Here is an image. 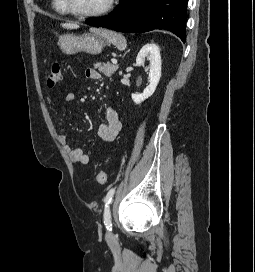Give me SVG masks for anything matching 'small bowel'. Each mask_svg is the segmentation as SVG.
I'll return each mask as SVG.
<instances>
[{"instance_id":"obj_1","label":"small bowel","mask_w":255,"mask_h":272,"mask_svg":"<svg viewBox=\"0 0 255 272\" xmlns=\"http://www.w3.org/2000/svg\"><path fill=\"white\" fill-rule=\"evenodd\" d=\"M86 77L94 80V81H101L102 75L94 69H87ZM75 98L74 93H68L65 96V100L67 102L73 101ZM104 116L105 122L101 123L98 127V136L103 141H113L116 139L118 134L121 131V121L118 112L112 105H108L104 108ZM60 143L62 144L63 148L68 153L70 160L73 163L86 165L89 163L90 158L87 153L80 147L73 146L68 137L65 135L60 136Z\"/></svg>"}]
</instances>
